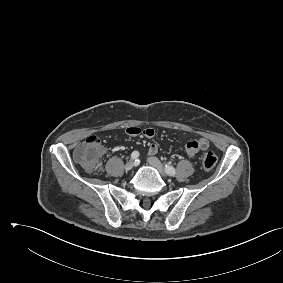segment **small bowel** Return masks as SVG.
<instances>
[{"mask_svg": "<svg viewBox=\"0 0 283 283\" xmlns=\"http://www.w3.org/2000/svg\"><path fill=\"white\" fill-rule=\"evenodd\" d=\"M126 134L132 137L143 135L147 138L154 136L155 132L152 128L140 129L135 126L127 127L125 130ZM209 147V141L206 138H198L189 141L185 144L184 150L188 157H195L199 151H204ZM158 152V147L155 144L149 146L148 154L155 155Z\"/></svg>", "mask_w": 283, "mask_h": 283, "instance_id": "1", "label": "small bowel"}]
</instances>
